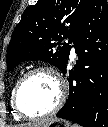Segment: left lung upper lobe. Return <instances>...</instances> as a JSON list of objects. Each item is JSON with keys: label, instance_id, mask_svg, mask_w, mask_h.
<instances>
[{"label": "left lung upper lobe", "instance_id": "left-lung-upper-lobe-1", "mask_svg": "<svg viewBox=\"0 0 108 127\" xmlns=\"http://www.w3.org/2000/svg\"><path fill=\"white\" fill-rule=\"evenodd\" d=\"M87 0H38L28 7L15 27L7 51V71L21 61L41 60L65 74L76 27ZM92 80H94V65ZM95 85V84H94Z\"/></svg>", "mask_w": 108, "mask_h": 127}]
</instances>
